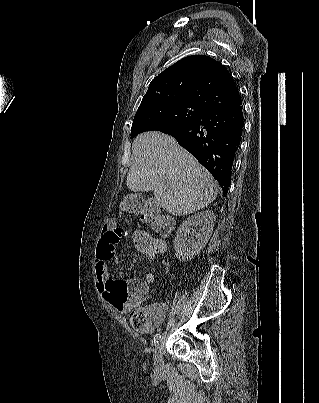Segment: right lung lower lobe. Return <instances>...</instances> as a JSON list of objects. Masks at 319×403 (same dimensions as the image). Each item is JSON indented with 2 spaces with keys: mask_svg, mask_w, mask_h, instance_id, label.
I'll use <instances>...</instances> for the list:
<instances>
[{
  "mask_svg": "<svg viewBox=\"0 0 319 403\" xmlns=\"http://www.w3.org/2000/svg\"><path fill=\"white\" fill-rule=\"evenodd\" d=\"M242 106L210 111L200 120L160 129L173 136L219 182L224 196L231 183L233 160L243 132Z\"/></svg>",
  "mask_w": 319,
  "mask_h": 403,
  "instance_id": "right-lung-lower-lobe-1",
  "label": "right lung lower lobe"
}]
</instances>
